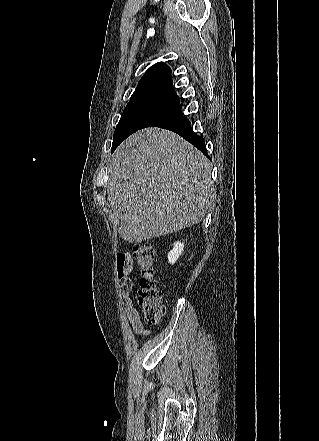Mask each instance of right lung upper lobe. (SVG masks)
Wrapping results in <instances>:
<instances>
[{"mask_svg": "<svg viewBox=\"0 0 319 441\" xmlns=\"http://www.w3.org/2000/svg\"><path fill=\"white\" fill-rule=\"evenodd\" d=\"M135 99H157L178 104L180 98L174 90L169 66L163 62L151 66L131 96V100Z\"/></svg>", "mask_w": 319, "mask_h": 441, "instance_id": "obj_1", "label": "right lung upper lobe"}]
</instances>
